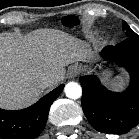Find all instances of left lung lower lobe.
<instances>
[{
    "label": "left lung lower lobe",
    "mask_w": 139,
    "mask_h": 139,
    "mask_svg": "<svg viewBox=\"0 0 139 139\" xmlns=\"http://www.w3.org/2000/svg\"><path fill=\"white\" fill-rule=\"evenodd\" d=\"M101 54L126 68L131 75L130 86L125 92L116 93L107 90L95 76H83L82 108L97 131L124 134L139 123V36L107 46Z\"/></svg>",
    "instance_id": "0a47b994"
}]
</instances>
